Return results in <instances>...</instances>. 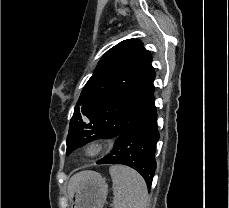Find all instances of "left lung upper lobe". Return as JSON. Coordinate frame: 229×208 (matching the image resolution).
Listing matches in <instances>:
<instances>
[{
    "label": "left lung upper lobe",
    "mask_w": 229,
    "mask_h": 208,
    "mask_svg": "<svg viewBox=\"0 0 229 208\" xmlns=\"http://www.w3.org/2000/svg\"><path fill=\"white\" fill-rule=\"evenodd\" d=\"M151 62V54L138 39L124 40L102 56L75 106L67 155L98 133L117 132L119 136L154 107Z\"/></svg>",
    "instance_id": "left-lung-upper-lobe-1"
}]
</instances>
